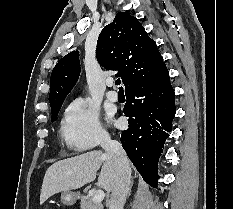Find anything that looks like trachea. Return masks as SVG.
<instances>
[{
    "mask_svg": "<svg viewBox=\"0 0 233 209\" xmlns=\"http://www.w3.org/2000/svg\"><path fill=\"white\" fill-rule=\"evenodd\" d=\"M115 84L116 85H120L121 84V81H120L119 78L115 81ZM119 90H123V87H119Z\"/></svg>",
    "mask_w": 233,
    "mask_h": 209,
    "instance_id": "trachea-1",
    "label": "trachea"
}]
</instances>
